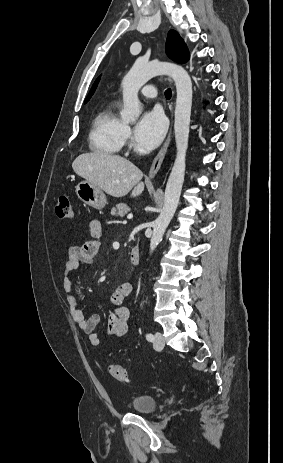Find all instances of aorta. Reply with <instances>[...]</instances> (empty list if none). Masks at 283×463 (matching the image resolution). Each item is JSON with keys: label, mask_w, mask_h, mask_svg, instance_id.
<instances>
[{"label": "aorta", "mask_w": 283, "mask_h": 463, "mask_svg": "<svg viewBox=\"0 0 283 463\" xmlns=\"http://www.w3.org/2000/svg\"><path fill=\"white\" fill-rule=\"evenodd\" d=\"M158 75L170 76L176 85L177 98L175 106V142L176 159L169 175L164 206L153 223L150 240V252H153L162 241L163 235L177 209L184 182L186 152L188 148L189 126L192 107V81L187 71L176 64L168 62H143L137 60L122 80L124 108L120 112L125 122L136 121L142 107L138 98L139 89L151 78Z\"/></svg>", "instance_id": "aorta-1"}]
</instances>
